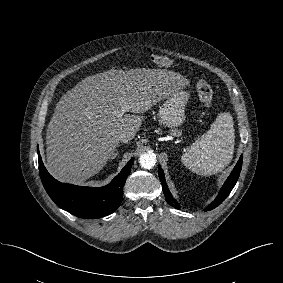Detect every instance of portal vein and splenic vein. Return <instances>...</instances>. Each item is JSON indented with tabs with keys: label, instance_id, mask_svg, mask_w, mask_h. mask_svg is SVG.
Instances as JSON below:
<instances>
[{
	"label": "portal vein and splenic vein",
	"instance_id": "18ae733b",
	"mask_svg": "<svg viewBox=\"0 0 283 283\" xmlns=\"http://www.w3.org/2000/svg\"><path fill=\"white\" fill-rule=\"evenodd\" d=\"M125 112H127V107L126 106H122L119 110L115 111V115L117 117H122Z\"/></svg>",
	"mask_w": 283,
	"mask_h": 283
}]
</instances>
